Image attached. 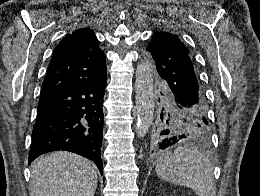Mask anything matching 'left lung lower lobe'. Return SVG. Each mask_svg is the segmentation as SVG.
<instances>
[{"label": "left lung lower lobe", "mask_w": 260, "mask_h": 196, "mask_svg": "<svg viewBox=\"0 0 260 196\" xmlns=\"http://www.w3.org/2000/svg\"><path fill=\"white\" fill-rule=\"evenodd\" d=\"M177 141V137L176 136H169L167 137V139L164 141L163 146L164 147H168L172 144H174Z\"/></svg>", "instance_id": "1"}]
</instances>
